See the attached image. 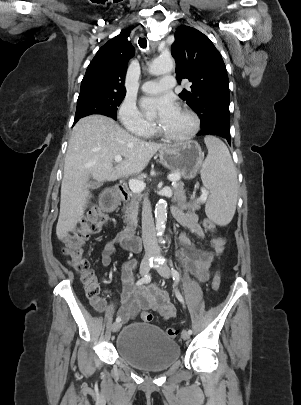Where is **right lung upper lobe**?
Masks as SVG:
<instances>
[{
    "label": "right lung upper lobe",
    "instance_id": "1",
    "mask_svg": "<svg viewBox=\"0 0 301 405\" xmlns=\"http://www.w3.org/2000/svg\"><path fill=\"white\" fill-rule=\"evenodd\" d=\"M129 30L109 40L90 62L81 82L80 94H126L124 80L127 62L134 56V47L128 41Z\"/></svg>",
    "mask_w": 301,
    "mask_h": 405
}]
</instances>
